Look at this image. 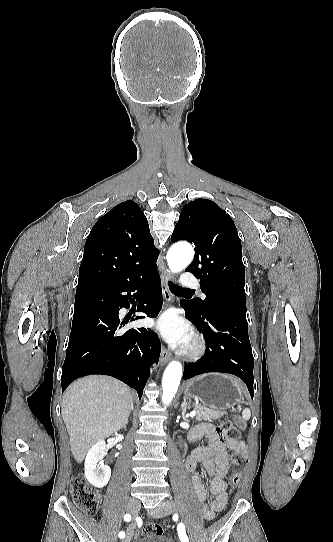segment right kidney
Segmentation results:
<instances>
[{
  "mask_svg": "<svg viewBox=\"0 0 333 542\" xmlns=\"http://www.w3.org/2000/svg\"><path fill=\"white\" fill-rule=\"evenodd\" d=\"M104 456H106V444L104 440H100V442H97V444H94V446L90 448L85 458V478L87 482L92 484V486H95V488H104L110 480L111 470L109 466H105V464H99L98 466V462H100Z\"/></svg>",
  "mask_w": 333,
  "mask_h": 542,
  "instance_id": "ca27d5eb",
  "label": "right kidney"
}]
</instances>
